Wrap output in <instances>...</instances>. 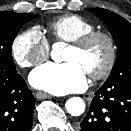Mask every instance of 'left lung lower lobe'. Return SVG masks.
Wrapping results in <instances>:
<instances>
[{
  "label": "left lung lower lobe",
  "mask_w": 131,
  "mask_h": 131,
  "mask_svg": "<svg viewBox=\"0 0 131 131\" xmlns=\"http://www.w3.org/2000/svg\"><path fill=\"white\" fill-rule=\"evenodd\" d=\"M79 131H131V85L104 84L95 93Z\"/></svg>",
  "instance_id": "1"
}]
</instances>
